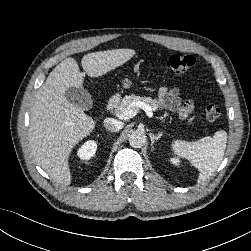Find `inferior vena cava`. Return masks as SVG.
<instances>
[{"label":"inferior vena cava","mask_w":251,"mask_h":251,"mask_svg":"<svg viewBox=\"0 0 251 251\" xmlns=\"http://www.w3.org/2000/svg\"><path fill=\"white\" fill-rule=\"evenodd\" d=\"M123 122L114 119H105L104 127L111 132H118L123 127Z\"/></svg>","instance_id":"602c4592"}]
</instances>
